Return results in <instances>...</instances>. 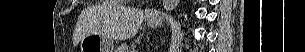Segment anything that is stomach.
Segmentation results:
<instances>
[{"label":"stomach","mask_w":305,"mask_h":52,"mask_svg":"<svg viewBox=\"0 0 305 52\" xmlns=\"http://www.w3.org/2000/svg\"><path fill=\"white\" fill-rule=\"evenodd\" d=\"M150 27H159L162 22L159 19L148 22ZM80 52H116L113 48V40L100 33H92L84 36L79 45Z\"/></svg>","instance_id":"1"}]
</instances>
